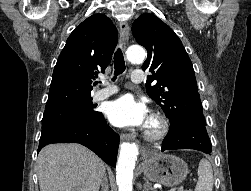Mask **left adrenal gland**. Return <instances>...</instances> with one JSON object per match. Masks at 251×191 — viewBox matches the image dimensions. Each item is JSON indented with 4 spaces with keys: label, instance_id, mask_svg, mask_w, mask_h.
<instances>
[{
    "label": "left adrenal gland",
    "instance_id": "1",
    "mask_svg": "<svg viewBox=\"0 0 251 191\" xmlns=\"http://www.w3.org/2000/svg\"><path fill=\"white\" fill-rule=\"evenodd\" d=\"M143 187H144V191H149V189H153L152 183H149L148 179H145V183Z\"/></svg>",
    "mask_w": 251,
    "mask_h": 191
}]
</instances>
